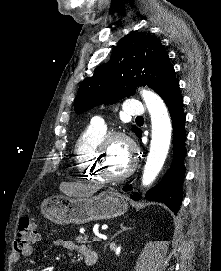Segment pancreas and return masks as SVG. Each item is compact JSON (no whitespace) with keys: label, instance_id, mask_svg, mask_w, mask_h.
Returning <instances> with one entry per match:
<instances>
[{"label":"pancreas","instance_id":"1","mask_svg":"<svg viewBox=\"0 0 221 271\" xmlns=\"http://www.w3.org/2000/svg\"><path fill=\"white\" fill-rule=\"evenodd\" d=\"M76 241L82 242V244H93L94 243L93 239H87V237H77Z\"/></svg>","mask_w":221,"mask_h":271}]
</instances>
